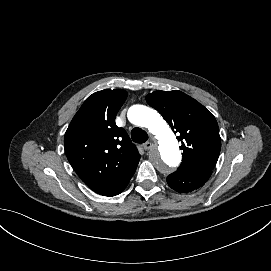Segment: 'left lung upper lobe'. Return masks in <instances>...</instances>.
Listing matches in <instances>:
<instances>
[{
  "label": "left lung upper lobe",
  "mask_w": 271,
  "mask_h": 271,
  "mask_svg": "<svg viewBox=\"0 0 271 271\" xmlns=\"http://www.w3.org/2000/svg\"><path fill=\"white\" fill-rule=\"evenodd\" d=\"M146 101L169 123L182 142L183 161L177 171L212 172L221 149L215 117L199 102L178 91H155Z\"/></svg>",
  "instance_id": "5c2ea615"
}]
</instances>
